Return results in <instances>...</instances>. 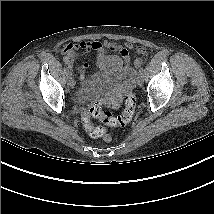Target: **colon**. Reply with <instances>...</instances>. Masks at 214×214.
<instances>
[{
  "instance_id": "colon-1",
  "label": "colon",
  "mask_w": 214,
  "mask_h": 214,
  "mask_svg": "<svg viewBox=\"0 0 214 214\" xmlns=\"http://www.w3.org/2000/svg\"><path fill=\"white\" fill-rule=\"evenodd\" d=\"M139 53L144 55L146 50L142 48L139 50ZM140 63L141 61L139 60L137 64ZM135 105V95L131 90H128L126 93L124 110L120 116H114L111 112L103 110L99 102L93 103L83 116V125L90 136L102 138L105 142H110L111 136L106 132L105 128L94 127L90 117L97 118L108 126H125L134 116Z\"/></svg>"
}]
</instances>
